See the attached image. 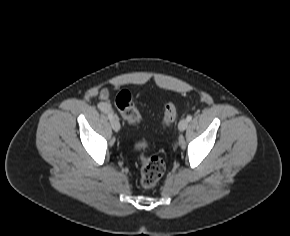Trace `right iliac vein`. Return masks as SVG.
<instances>
[{"instance_id": "63e3f726", "label": "right iliac vein", "mask_w": 290, "mask_h": 236, "mask_svg": "<svg viewBox=\"0 0 290 236\" xmlns=\"http://www.w3.org/2000/svg\"><path fill=\"white\" fill-rule=\"evenodd\" d=\"M111 126H112V128H113L114 131H119L120 130L119 120L117 118H113L111 120Z\"/></svg>"}]
</instances>
